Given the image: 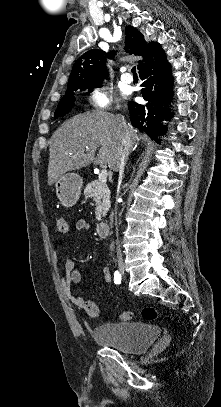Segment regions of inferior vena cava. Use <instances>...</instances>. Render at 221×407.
<instances>
[{
	"mask_svg": "<svg viewBox=\"0 0 221 407\" xmlns=\"http://www.w3.org/2000/svg\"><path fill=\"white\" fill-rule=\"evenodd\" d=\"M122 125L125 128V134L122 138V150H121V156L119 158L118 164H117V172L119 173V181H122L123 178V174H124V167H125V163L126 160L129 156L130 150H131V140H130V136L127 130V126H126V122L124 120V117L122 116L120 118ZM116 234L118 237V227L116 228ZM117 259L118 262H122V253H121V249H120V245H119V241H117Z\"/></svg>",
	"mask_w": 221,
	"mask_h": 407,
	"instance_id": "1",
	"label": "inferior vena cava"
}]
</instances>
